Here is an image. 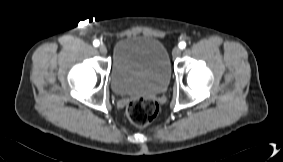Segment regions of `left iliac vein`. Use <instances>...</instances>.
Instances as JSON below:
<instances>
[{
	"label": "left iliac vein",
	"instance_id": "obj_1",
	"mask_svg": "<svg viewBox=\"0 0 283 162\" xmlns=\"http://www.w3.org/2000/svg\"><path fill=\"white\" fill-rule=\"evenodd\" d=\"M181 54V49L179 47H174L172 50V56L174 58L179 57Z\"/></svg>",
	"mask_w": 283,
	"mask_h": 162
}]
</instances>
